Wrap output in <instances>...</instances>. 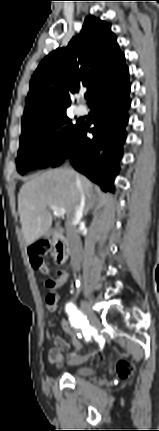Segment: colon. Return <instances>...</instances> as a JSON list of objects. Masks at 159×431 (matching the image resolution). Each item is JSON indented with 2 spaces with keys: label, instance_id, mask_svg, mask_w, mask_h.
<instances>
[{
  "label": "colon",
  "instance_id": "colon-1",
  "mask_svg": "<svg viewBox=\"0 0 159 431\" xmlns=\"http://www.w3.org/2000/svg\"><path fill=\"white\" fill-rule=\"evenodd\" d=\"M49 254L50 250L46 246L42 244H37L33 246L30 250V259L32 266L37 270L47 272L48 266L46 265L44 258ZM56 300L57 295L54 292H51L47 297L48 313L54 314L57 311V308L54 306ZM59 324L61 325V330H63V334H65L71 340V345L74 347V350H81L82 340L79 339V335L73 331V327L70 321L67 318H62L59 321ZM116 370L121 378L126 379L132 374L133 368L127 361L120 360L117 363Z\"/></svg>",
  "mask_w": 159,
  "mask_h": 431
}]
</instances>
